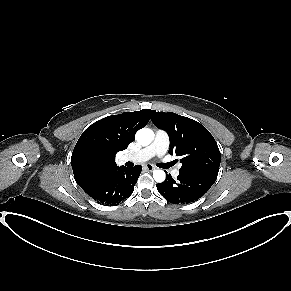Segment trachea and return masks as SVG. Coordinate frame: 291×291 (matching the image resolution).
Masks as SVG:
<instances>
[{"mask_svg":"<svg viewBox=\"0 0 291 291\" xmlns=\"http://www.w3.org/2000/svg\"><path fill=\"white\" fill-rule=\"evenodd\" d=\"M172 164L171 163H168V164H161L162 167H165V168H168L170 167Z\"/></svg>","mask_w":291,"mask_h":291,"instance_id":"3493384b","label":"trachea"}]
</instances>
